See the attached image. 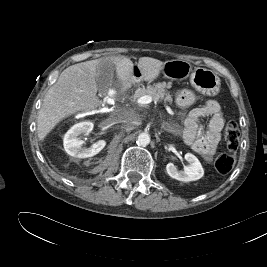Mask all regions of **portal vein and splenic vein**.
Returning a JSON list of instances; mask_svg holds the SVG:
<instances>
[{"label":"portal vein and splenic vein","instance_id":"18ae733b","mask_svg":"<svg viewBox=\"0 0 267 267\" xmlns=\"http://www.w3.org/2000/svg\"><path fill=\"white\" fill-rule=\"evenodd\" d=\"M153 101L152 97L149 96V95H145V96H142L140 98H138L137 100V103L140 104V105H146V104H149ZM166 110L168 111V113L170 115H173V111L171 110V108L169 106H165Z\"/></svg>","mask_w":267,"mask_h":267}]
</instances>
